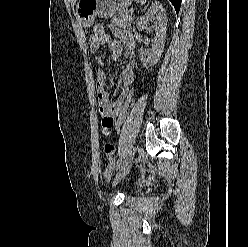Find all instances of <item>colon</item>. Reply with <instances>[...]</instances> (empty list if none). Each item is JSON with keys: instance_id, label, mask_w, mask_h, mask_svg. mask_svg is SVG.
<instances>
[{"instance_id": "obj_1", "label": "colon", "mask_w": 248, "mask_h": 247, "mask_svg": "<svg viewBox=\"0 0 248 247\" xmlns=\"http://www.w3.org/2000/svg\"><path fill=\"white\" fill-rule=\"evenodd\" d=\"M93 35L98 37V38H101L105 35L103 26L101 24L97 23L94 25ZM137 91H138V87L135 86L128 92L126 99H125V102L123 103V105H122V107H121V109H120V111H119V113L115 119L114 127H115L117 133H119V131H120V129L124 123V120L126 118V115L129 111L130 107L134 103Z\"/></svg>"}]
</instances>
